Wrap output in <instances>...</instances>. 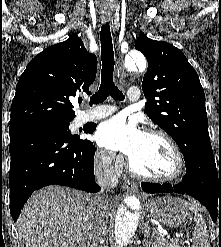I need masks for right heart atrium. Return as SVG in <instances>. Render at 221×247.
Returning a JSON list of instances; mask_svg holds the SVG:
<instances>
[{
  "instance_id": "1",
  "label": "right heart atrium",
  "mask_w": 221,
  "mask_h": 247,
  "mask_svg": "<svg viewBox=\"0 0 221 247\" xmlns=\"http://www.w3.org/2000/svg\"><path fill=\"white\" fill-rule=\"evenodd\" d=\"M96 161L102 168H108L112 165V163L114 161V156L112 153H110L106 150H99L96 153ZM115 168L116 169L120 168L119 162L115 163Z\"/></svg>"
}]
</instances>
